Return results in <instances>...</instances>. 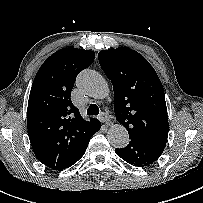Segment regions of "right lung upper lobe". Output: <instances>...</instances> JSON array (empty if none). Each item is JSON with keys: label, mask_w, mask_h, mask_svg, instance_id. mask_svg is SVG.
Instances as JSON below:
<instances>
[{"label": "right lung upper lobe", "mask_w": 203, "mask_h": 203, "mask_svg": "<svg viewBox=\"0 0 203 203\" xmlns=\"http://www.w3.org/2000/svg\"><path fill=\"white\" fill-rule=\"evenodd\" d=\"M94 57L90 50L63 48L41 65L33 81L28 136L37 159L52 169L69 167L98 126L97 119L85 121L70 98L77 74Z\"/></svg>", "instance_id": "obj_1"}]
</instances>
